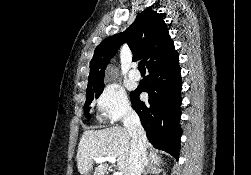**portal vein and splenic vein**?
I'll return each instance as SVG.
<instances>
[{"label": "portal vein and splenic vein", "instance_id": "1", "mask_svg": "<svg viewBox=\"0 0 251 175\" xmlns=\"http://www.w3.org/2000/svg\"><path fill=\"white\" fill-rule=\"evenodd\" d=\"M96 163H102V161H110V163H115L116 159L115 157H112V155H105V157H94ZM113 175H123L121 171H114Z\"/></svg>", "mask_w": 251, "mask_h": 175}]
</instances>
